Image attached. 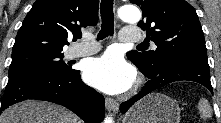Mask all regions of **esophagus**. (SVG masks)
<instances>
[{"label":"esophagus","instance_id":"obj_1","mask_svg":"<svg viewBox=\"0 0 221 123\" xmlns=\"http://www.w3.org/2000/svg\"><path fill=\"white\" fill-rule=\"evenodd\" d=\"M105 105L108 110H112L113 112L118 111V103L112 98L106 97L105 98Z\"/></svg>","mask_w":221,"mask_h":123}]
</instances>
